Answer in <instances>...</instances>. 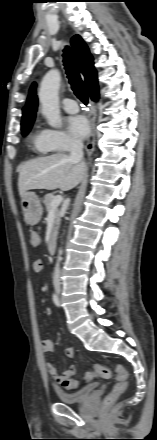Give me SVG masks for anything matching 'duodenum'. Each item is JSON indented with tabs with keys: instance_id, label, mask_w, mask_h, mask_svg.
Wrapping results in <instances>:
<instances>
[{
	"instance_id": "410a0bca",
	"label": "duodenum",
	"mask_w": 157,
	"mask_h": 440,
	"mask_svg": "<svg viewBox=\"0 0 157 440\" xmlns=\"http://www.w3.org/2000/svg\"><path fill=\"white\" fill-rule=\"evenodd\" d=\"M56 243H57L56 237H51L50 241L48 243V252H49V254L53 255L55 253Z\"/></svg>"
}]
</instances>
